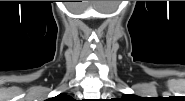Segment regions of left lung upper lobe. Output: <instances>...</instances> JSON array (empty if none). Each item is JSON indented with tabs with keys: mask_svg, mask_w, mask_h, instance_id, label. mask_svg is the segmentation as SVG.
Masks as SVG:
<instances>
[{
	"mask_svg": "<svg viewBox=\"0 0 185 101\" xmlns=\"http://www.w3.org/2000/svg\"><path fill=\"white\" fill-rule=\"evenodd\" d=\"M123 99L132 100V99H135V98L131 95H125V96H123Z\"/></svg>",
	"mask_w": 185,
	"mask_h": 101,
	"instance_id": "obj_1",
	"label": "left lung upper lobe"
}]
</instances>
